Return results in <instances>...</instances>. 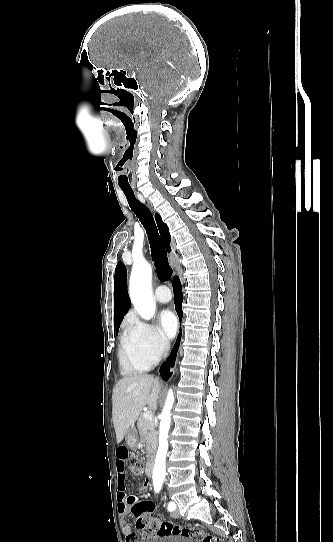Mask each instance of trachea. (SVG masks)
Segmentation results:
<instances>
[{"label": "trachea", "mask_w": 333, "mask_h": 542, "mask_svg": "<svg viewBox=\"0 0 333 542\" xmlns=\"http://www.w3.org/2000/svg\"><path fill=\"white\" fill-rule=\"evenodd\" d=\"M122 191L128 200L132 212L136 214L146 229L151 247V255L154 260L159 279L162 281L169 280L172 276V269L169 266L167 253L158 234L152 213L146 207V205H143V203L137 200L132 189L122 188Z\"/></svg>", "instance_id": "obj_1"}]
</instances>
